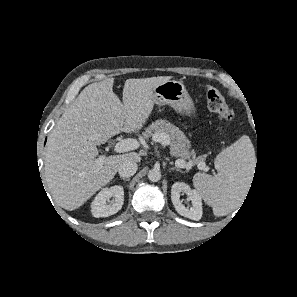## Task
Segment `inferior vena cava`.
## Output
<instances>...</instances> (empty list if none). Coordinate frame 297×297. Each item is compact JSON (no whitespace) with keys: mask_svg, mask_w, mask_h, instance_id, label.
Listing matches in <instances>:
<instances>
[{"mask_svg":"<svg viewBox=\"0 0 297 297\" xmlns=\"http://www.w3.org/2000/svg\"><path fill=\"white\" fill-rule=\"evenodd\" d=\"M138 169V165L135 161L133 160H126L124 161L120 167L118 168V173L120 174L121 177H131L133 176Z\"/></svg>","mask_w":297,"mask_h":297,"instance_id":"1","label":"inferior vena cava"}]
</instances>
